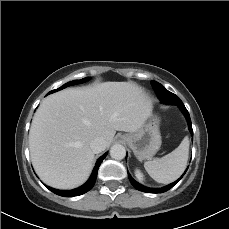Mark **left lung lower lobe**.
Masks as SVG:
<instances>
[{"mask_svg":"<svg viewBox=\"0 0 229 229\" xmlns=\"http://www.w3.org/2000/svg\"><path fill=\"white\" fill-rule=\"evenodd\" d=\"M179 106V108L181 109V111L183 112V114L185 115L186 119H187V122H188V126H189V129H190V132L193 134V130H192V125H191V119H190V115L187 111V109L185 108L184 104L182 102H180L179 104H177ZM188 169V168H187ZM186 169V171H187ZM185 171V173H186ZM128 177H129V180L131 182V184L139 191H142V192H149V193H163V192H166L168 191L169 189H171L181 178L182 176L175 182L163 187V188H148V187H145L141 184H139L138 182H136L132 177L131 175L129 174L128 172Z\"/></svg>","mask_w":229,"mask_h":229,"instance_id":"obj_1","label":"left lung lower lobe"}]
</instances>
